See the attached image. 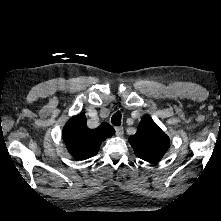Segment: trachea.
Here are the masks:
<instances>
[{
  "label": "trachea",
  "instance_id": "obj_1",
  "mask_svg": "<svg viewBox=\"0 0 221 221\" xmlns=\"http://www.w3.org/2000/svg\"><path fill=\"white\" fill-rule=\"evenodd\" d=\"M111 123L115 126H120L121 125V113L116 112L112 118H111Z\"/></svg>",
  "mask_w": 221,
  "mask_h": 221
}]
</instances>
